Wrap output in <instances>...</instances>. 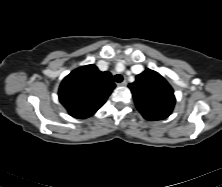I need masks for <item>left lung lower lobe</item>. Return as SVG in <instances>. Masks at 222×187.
I'll use <instances>...</instances> for the list:
<instances>
[{"mask_svg": "<svg viewBox=\"0 0 222 187\" xmlns=\"http://www.w3.org/2000/svg\"><path fill=\"white\" fill-rule=\"evenodd\" d=\"M143 116L147 120H161L165 118V117L157 116V115H143Z\"/></svg>", "mask_w": 222, "mask_h": 187, "instance_id": "left-lung-lower-lobe-1", "label": "left lung lower lobe"}]
</instances>
